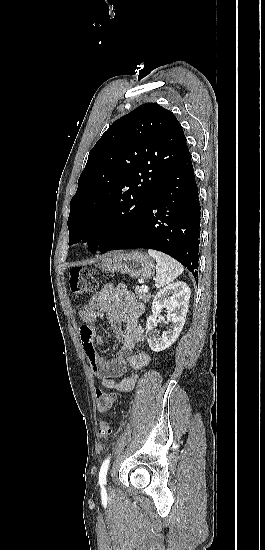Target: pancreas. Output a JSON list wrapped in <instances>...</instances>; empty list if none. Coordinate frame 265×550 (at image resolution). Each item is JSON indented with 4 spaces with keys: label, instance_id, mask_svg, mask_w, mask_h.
<instances>
[{
    "label": "pancreas",
    "instance_id": "1",
    "mask_svg": "<svg viewBox=\"0 0 265 550\" xmlns=\"http://www.w3.org/2000/svg\"><path fill=\"white\" fill-rule=\"evenodd\" d=\"M134 291H135V294L137 295V297H139V299L143 300L145 303L150 301L151 295L148 294V293L143 292L142 289L139 286H136Z\"/></svg>",
    "mask_w": 265,
    "mask_h": 550
}]
</instances>
